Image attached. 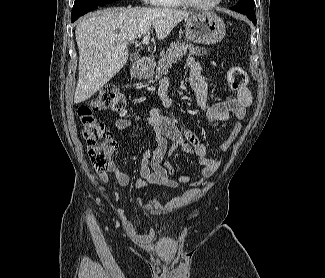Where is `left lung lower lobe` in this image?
Returning <instances> with one entry per match:
<instances>
[{"instance_id":"obj_1","label":"left lung lower lobe","mask_w":325,"mask_h":278,"mask_svg":"<svg viewBox=\"0 0 325 278\" xmlns=\"http://www.w3.org/2000/svg\"><path fill=\"white\" fill-rule=\"evenodd\" d=\"M231 9L246 15L250 20H252L253 24L256 25L257 20L253 0H240L237 5Z\"/></svg>"}]
</instances>
